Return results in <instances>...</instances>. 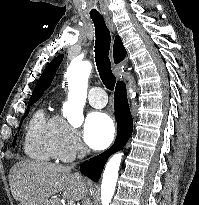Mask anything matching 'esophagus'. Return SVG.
I'll return each mask as SVG.
<instances>
[{
	"mask_svg": "<svg viewBox=\"0 0 199 205\" xmlns=\"http://www.w3.org/2000/svg\"><path fill=\"white\" fill-rule=\"evenodd\" d=\"M106 21H107L111 31L114 32L115 31V27H114L113 23L111 22V20L109 18H106Z\"/></svg>",
	"mask_w": 199,
	"mask_h": 205,
	"instance_id": "34e87169",
	"label": "esophagus"
}]
</instances>
